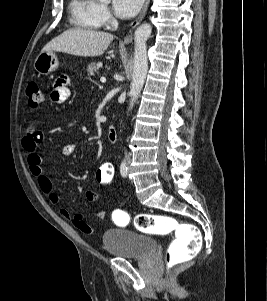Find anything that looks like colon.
I'll return each instance as SVG.
<instances>
[{"label":"colon","mask_w":267,"mask_h":301,"mask_svg":"<svg viewBox=\"0 0 267 301\" xmlns=\"http://www.w3.org/2000/svg\"><path fill=\"white\" fill-rule=\"evenodd\" d=\"M26 93L29 103L37 106L43 101V93L35 82H30ZM114 178V168L111 163L104 162L96 170L95 182L101 189H108ZM114 222L125 225L130 216L127 211L118 209L112 214ZM134 225L143 233L166 235L173 234L174 240L166 252V262L169 268L194 258L201 247V236L199 230L191 224L179 223L173 217L165 215H153L141 213L135 216Z\"/></svg>","instance_id":"1"}]
</instances>
